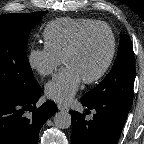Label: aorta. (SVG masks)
Returning <instances> with one entry per match:
<instances>
[{"mask_svg":"<svg viewBox=\"0 0 144 144\" xmlns=\"http://www.w3.org/2000/svg\"><path fill=\"white\" fill-rule=\"evenodd\" d=\"M71 122V115L66 111H60L54 115V124L57 128L67 129L71 126Z\"/></svg>","mask_w":144,"mask_h":144,"instance_id":"1","label":"aorta"}]
</instances>
